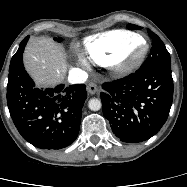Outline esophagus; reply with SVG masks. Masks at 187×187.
Returning <instances> with one entry per match:
<instances>
[{
	"label": "esophagus",
	"mask_w": 187,
	"mask_h": 187,
	"mask_svg": "<svg viewBox=\"0 0 187 187\" xmlns=\"http://www.w3.org/2000/svg\"><path fill=\"white\" fill-rule=\"evenodd\" d=\"M87 91L91 95H94V94H96L99 91V88H98V86L95 83L89 82L88 85H87Z\"/></svg>",
	"instance_id": "1"
}]
</instances>
